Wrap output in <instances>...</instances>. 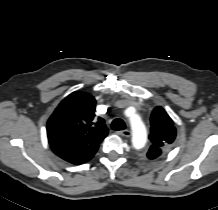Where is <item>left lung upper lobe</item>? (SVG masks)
I'll return each instance as SVG.
<instances>
[{"instance_id":"obj_1","label":"left lung upper lobe","mask_w":218,"mask_h":210,"mask_svg":"<svg viewBox=\"0 0 218 210\" xmlns=\"http://www.w3.org/2000/svg\"><path fill=\"white\" fill-rule=\"evenodd\" d=\"M151 134L149 138L152 145L147 153L148 158L155 159L161 155V149L171 144L176 137L174 123L166 111L158 106L150 117Z\"/></svg>"}]
</instances>
